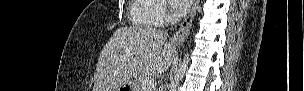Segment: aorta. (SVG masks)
<instances>
[{"label":"aorta","instance_id":"aorta-1","mask_svg":"<svg viewBox=\"0 0 304 91\" xmlns=\"http://www.w3.org/2000/svg\"><path fill=\"white\" fill-rule=\"evenodd\" d=\"M188 65H189V55L186 54L179 66V69L177 70V73L174 76V80L170 83L169 91H176V88L178 87L180 81L184 77L186 70L188 69Z\"/></svg>","mask_w":304,"mask_h":91}]
</instances>
